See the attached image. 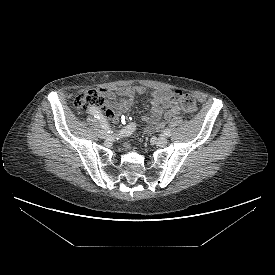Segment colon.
Returning a JSON list of instances; mask_svg holds the SVG:
<instances>
[{
	"mask_svg": "<svg viewBox=\"0 0 275 275\" xmlns=\"http://www.w3.org/2000/svg\"><path fill=\"white\" fill-rule=\"evenodd\" d=\"M173 97L177 100L183 111L192 118L196 111L197 105L194 97L182 90H177L173 93ZM107 101L105 96L98 90L91 89L78 94L74 99V106L80 111H86L90 107H95L101 110L106 108Z\"/></svg>",
	"mask_w": 275,
	"mask_h": 275,
	"instance_id": "1",
	"label": "colon"
}]
</instances>
